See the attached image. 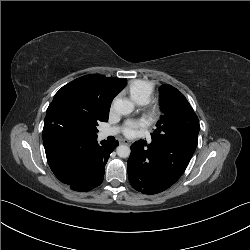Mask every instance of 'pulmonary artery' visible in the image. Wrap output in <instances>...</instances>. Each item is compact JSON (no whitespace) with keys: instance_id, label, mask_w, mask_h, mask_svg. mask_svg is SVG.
<instances>
[{"instance_id":"1","label":"pulmonary artery","mask_w":250,"mask_h":250,"mask_svg":"<svg viewBox=\"0 0 250 250\" xmlns=\"http://www.w3.org/2000/svg\"><path fill=\"white\" fill-rule=\"evenodd\" d=\"M118 132H119V128H117V127L105 128V129L101 130L100 137L106 138L108 136L116 135Z\"/></svg>"}]
</instances>
